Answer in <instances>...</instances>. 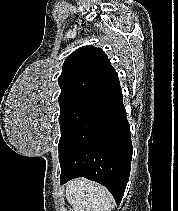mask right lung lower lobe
Here are the masks:
<instances>
[{"mask_svg":"<svg viewBox=\"0 0 178 211\" xmlns=\"http://www.w3.org/2000/svg\"><path fill=\"white\" fill-rule=\"evenodd\" d=\"M133 147L121 89L95 103L59 146L60 183L85 177L104 185L120 204Z\"/></svg>","mask_w":178,"mask_h":211,"instance_id":"1","label":"right lung lower lobe"}]
</instances>
